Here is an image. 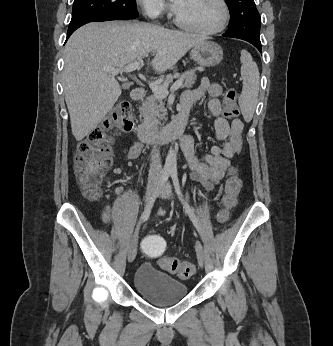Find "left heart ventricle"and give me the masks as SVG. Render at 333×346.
<instances>
[{
  "mask_svg": "<svg viewBox=\"0 0 333 346\" xmlns=\"http://www.w3.org/2000/svg\"><path fill=\"white\" fill-rule=\"evenodd\" d=\"M176 11L183 20L203 29L218 26L223 15L218 0H180Z\"/></svg>",
  "mask_w": 333,
  "mask_h": 346,
  "instance_id": "obj_1",
  "label": "left heart ventricle"
}]
</instances>
